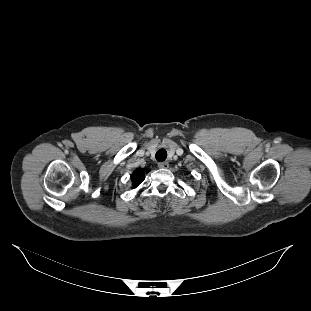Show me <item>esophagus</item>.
I'll return each mask as SVG.
<instances>
[{"mask_svg":"<svg viewBox=\"0 0 311 311\" xmlns=\"http://www.w3.org/2000/svg\"><path fill=\"white\" fill-rule=\"evenodd\" d=\"M158 167L161 169H167L169 167V163L167 161L159 162Z\"/></svg>","mask_w":311,"mask_h":311,"instance_id":"obj_1","label":"esophagus"}]
</instances>
